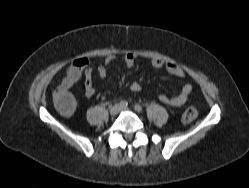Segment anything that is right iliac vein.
Returning a JSON list of instances; mask_svg holds the SVG:
<instances>
[{
  "instance_id": "63e3f726",
  "label": "right iliac vein",
  "mask_w": 249,
  "mask_h": 188,
  "mask_svg": "<svg viewBox=\"0 0 249 188\" xmlns=\"http://www.w3.org/2000/svg\"><path fill=\"white\" fill-rule=\"evenodd\" d=\"M119 106L118 105H114L110 108L109 112H110V115L112 116H115L117 115V113L119 112Z\"/></svg>"
}]
</instances>
